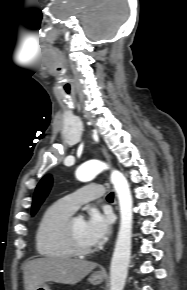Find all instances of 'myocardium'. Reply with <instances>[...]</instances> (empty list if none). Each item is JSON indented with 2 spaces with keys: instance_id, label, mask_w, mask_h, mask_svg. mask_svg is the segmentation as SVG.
I'll return each mask as SVG.
<instances>
[{
  "instance_id": "f54148a6",
  "label": "myocardium",
  "mask_w": 187,
  "mask_h": 290,
  "mask_svg": "<svg viewBox=\"0 0 187 290\" xmlns=\"http://www.w3.org/2000/svg\"><path fill=\"white\" fill-rule=\"evenodd\" d=\"M75 216L71 215L64 223L63 234L65 241L74 255L85 256L93 253L95 247L82 245L74 231L73 220Z\"/></svg>"
}]
</instances>
